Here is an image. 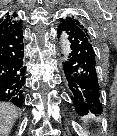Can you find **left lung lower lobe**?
<instances>
[{"label":"left lung lower lobe","mask_w":117,"mask_h":136,"mask_svg":"<svg viewBox=\"0 0 117 136\" xmlns=\"http://www.w3.org/2000/svg\"><path fill=\"white\" fill-rule=\"evenodd\" d=\"M58 37L65 40L68 54L64 65L67 87L80 116L89 112L100 114V85L97 59L91 36L79 27L61 19Z\"/></svg>","instance_id":"left-lung-lower-lobe-1"}]
</instances>
